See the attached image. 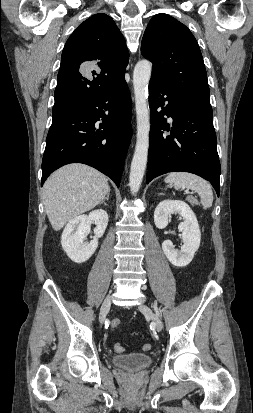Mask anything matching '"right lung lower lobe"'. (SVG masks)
<instances>
[{
	"label": "right lung lower lobe",
	"mask_w": 253,
	"mask_h": 413,
	"mask_svg": "<svg viewBox=\"0 0 253 413\" xmlns=\"http://www.w3.org/2000/svg\"><path fill=\"white\" fill-rule=\"evenodd\" d=\"M131 115V96L124 79L92 100L53 116L41 186L54 170L77 162L96 168L119 187L132 135Z\"/></svg>",
	"instance_id": "1"
}]
</instances>
